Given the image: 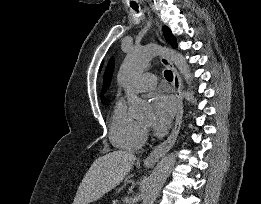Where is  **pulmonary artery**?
I'll use <instances>...</instances> for the list:
<instances>
[{"label":"pulmonary artery","mask_w":261,"mask_h":204,"mask_svg":"<svg viewBox=\"0 0 261 204\" xmlns=\"http://www.w3.org/2000/svg\"><path fill=\"white\" fill-rule=\"evenodd\" d=\"M156 84L157 77L153 74L146 73L136 80L134 84V90L136 92H146L155 88Z\"/></svg>","instance_id":"pulmonary-artery-1"}]
</instances>
